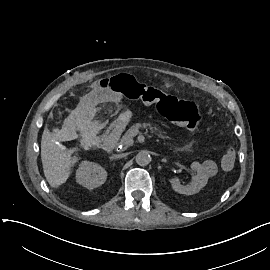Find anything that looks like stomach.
<instances>
[{
	"instance_id": "stomach-1",
	"label": "stomach",
	"mask_w": 270,
	"mask_h": 270,
	"mask_svg": "<svg viewBox=\"0 0 270 270\" xmlns=\"http://www.w3.org/2000/svg\"><path fill=\"white\" fill-rule=\"evenodd\" d=\"M130 122H131V118L125 123V125L129 124Z\"/></svg>"
}]
</instances>
